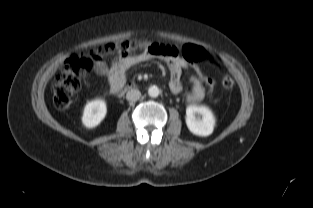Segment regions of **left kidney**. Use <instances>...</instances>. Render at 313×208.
Masks as SVG:
<instances>
[{
  "instance_id": "5707ae66",
  "label": "left kidney",
  "mask_w": 313,
  "mask_h": 208,
  "mask_svg": "<svg viewBox=\"0 0 313 208\" xmlns=\"http://www.w3.org/2000/svg\"><path fill=\"white\" fill-rule=\"evenodd\" d=\"M186 124L193 134L206 137L213 133L215 117L208 107L190 105L186 108Z\"/></svg>"
}]
</instances>
